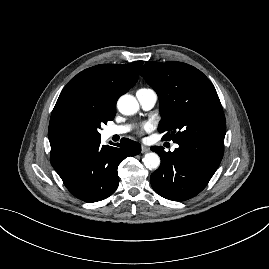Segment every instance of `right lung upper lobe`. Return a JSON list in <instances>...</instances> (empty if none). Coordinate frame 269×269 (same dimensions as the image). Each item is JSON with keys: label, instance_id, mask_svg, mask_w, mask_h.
<instances>
[{"label": "right lung upper lobe", "instance_id": "1", "mask_svg": "<svg viewBox=\"0 0 269 269\" xmlns=\"http://www.w3.org/2000/svg\"><path fill=\"white\" fill-rule=\"evenodd\" d=\"M143 61L85 69L64 87L52 111L48 138L51 153L88 141L86 122L115 116L118 97L138 80Z\"/></svg>", "mask_w": 269, "mask_h": 269}]
</instances>
